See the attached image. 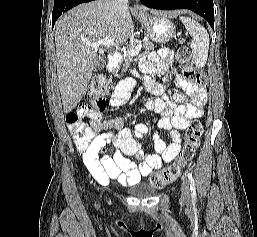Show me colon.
Returning <instances> with one entry per match:
<instances>
[{
    "instance_id": "obj_1",
    "label": "colon",
    "mask_w": 257,
    "mask_h": 237,
    "mask_svg": "<svg viewBox=\"0 0 257 237\" xmlns=\"http://www.w3.org/2000/svg\"><path fill=\"white\" fill-rule=\"evenodd\" d=\"M177 57L181 64L186 80L199 88H205L207 77L203 71L193 66L191 53L187 46L180 40L177 50ZM112 91V87L105 76H98L92 80L88 89L90 103L98 104L106 100V96ZM79 113L69 112L66 114V124L80 146H86L92 140L93 136L87 131L85 123L82 121ZM203 133V125L199 121H193L189 124L185 143L180 155L168 167L151 173L149 175V184L161 189L174 182L182 173V170L192 161L200 144V137Z\"/></svg>"
}]
</instances>
